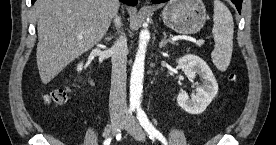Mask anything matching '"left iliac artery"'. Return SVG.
Returning <instances> with one entry per match:
<instances>
[{
	"mask_svg": "<svg viewBox=\"0 0 276 145\" xmlns=\"http://www.w3.org/2000/svg\"><path fill=\"white\" fill-rule=\"evenodd\" d=\"M136 115L140 125L147 132L149 138H157L162 144L167 145L165 137L152 125L149 121L146 113L142 110L141 107H136Z\"/></svg>",
	"mask_w": 276,
	"mask_h": 145,
	"instance_id": "1",
	"label": "left iliac artery"
}]
</instances>
